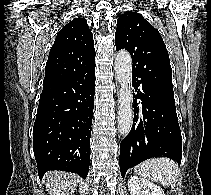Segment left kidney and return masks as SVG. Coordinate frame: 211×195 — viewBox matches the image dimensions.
Listing matches in <instances>:
<instances>
[{
  "mask_svg": "<svg viewBox=\"0 0 211 195\" xmlns=\"http://www.w3.org/2000/svg\"><path fill=\"white\" fill-rule=\"evenodd\" d=\"M128 189L131 195H165L160 186L138 176H130Z\"/></svg>",
  "mask_w": 211,
  "mask_h": 195,
  "instance_id": "1",
  "label": "left kidney"
}]
</instances>
